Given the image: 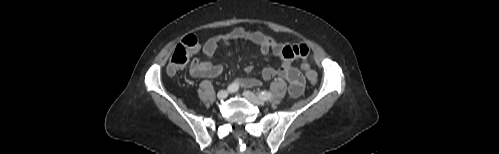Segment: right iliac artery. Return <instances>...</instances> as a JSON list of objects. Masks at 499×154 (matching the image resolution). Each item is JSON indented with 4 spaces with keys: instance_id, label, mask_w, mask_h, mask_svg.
<instances>
[{
    "instance_id": "right-iliac-artery-1",
    "label": "right iliac artery",
    "mask_w": 499,
    "mask_h": 154,
    "mask_svg": "<svg viewBox=\"0 0 499 154\" xmlns=\"http://www.w3.org/2000/svg\"><path fill=\"white\" fill-rule=\"evenodd\" d=\"M238 89H239V85H238L236 82H234V83L230 84V85L228 86V88H227V90H228L229 92H231V93L236 92Z\"/></svg>"
}]
</instances>
